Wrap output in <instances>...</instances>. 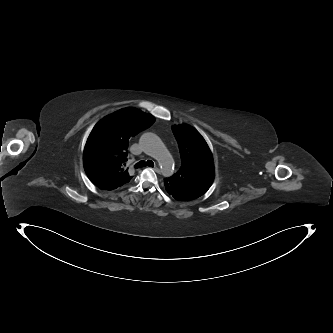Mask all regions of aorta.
<instances>
[{"label":"aorta","mask_w":333,"mask_h":333,"mask_svg":"<svg viewBox=\"0 0 333 333\" xmlns=\"http://www.w3.org/2000/svg\"><path fill=\"white\" fill-rule=\"evenodd\" d=\"M144 151L158 163L161 173L170 176L173 172L174 159L166 145L154 133H144L140 137Z\"/></svg>","instance_id":"aorta-1"}]
</instances>
